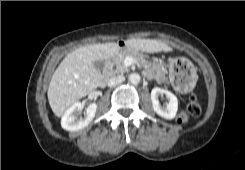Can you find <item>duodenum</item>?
Instances as JSON below:
<instances>
[{
	"label": "duodenum",
	"instance_id": "obj_1",
	"mask_svg": "<svg viewBox=\"0 0 245 170\" xmlns=\"http://www.w3.org/2000/svg\"><path fill=\"white\" fill-rule=\"evenodd\" d=\"M126 46L127 44L124 41H119L114 44L113 51L111 54L108 55L106 62H105L104 70H103V79L105 81L111 79L113 76V59H114L115 54L120 49L125 48Z\"/></svg>",
	"mask_w": 245,
	"mask_h": 170
}]
</instances>
